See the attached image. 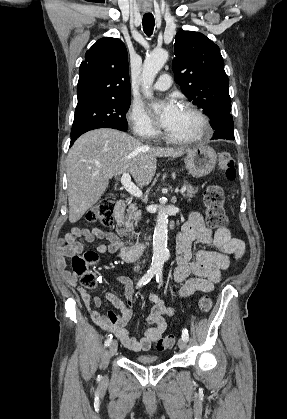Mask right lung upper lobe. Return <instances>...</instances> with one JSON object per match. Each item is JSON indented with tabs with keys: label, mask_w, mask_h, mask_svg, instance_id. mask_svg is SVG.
<instances>
[{
	"label": "right lung upper lobe",
	"mask_w": 287,
	"mask_h": 419,
	"mask_svg": "<svg viewBox=\"0 0 287 419\" xmlns=\"http://www.w3.org/2000/svg\"><path fill=\"white\" fill-rule=\"evenodd\" d=\"M130 95L128 54L124 43L117 38L99 39L86 52L80 65L76 108L130 98Z\"/></svg>",
	"instance_id": "right-lung-upper-lobe-1"
}]
</instances>
